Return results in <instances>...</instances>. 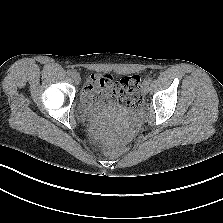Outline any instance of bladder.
<instances>
[{
	"mask_svg": "<svg viewBox=\"0 0 223 223\" xmlns=\"http://www.w3.org/2000/svg\"><path fill=\"white\" fill-rule=\"evenodd\" d=\"M84 99H82V103H84ZM90 109H94L97 111H105V112H120L122 107L116 103L111 102H103V101H96L89 103Z\"/></svg>",
	"mask_w": 223,
	"mask_h": 223,
	"instance_id": "obj_1",
	"label": "bladder"
}]
</instances>
